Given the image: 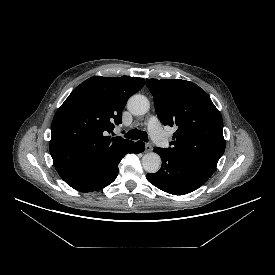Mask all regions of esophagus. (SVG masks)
Listing matches in <instances>:
<instances>
[{
	"label": "esophagus",
	"mask_w": 275,
	"mask_h": 275,
	"mask_svg": "<svg viewBox=\"0 0 275 275\" xmlns=\"http://www.w3.org/2000/svg\"><path fill=\"white\" fill-rule=\"evenodd\" d=\"M152 151V146L150 144H145V152H151Z\"/></svg>",
	"instance_id": "obj_1"
}]
</instances>
